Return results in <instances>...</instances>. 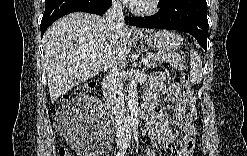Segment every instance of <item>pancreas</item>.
<instances>
[{"instance_id":"obj_1","label":"pancreas","mask_w":247,"mask_h":156,"mask_svg":"<svg viewBox=\"0 0 247 156\" xmlns=\"http://www.w3.org/2000/svg\"><path fill=\"white\" fill-rule=\"evenodd\" d=\"M146 58L148 62L145 64L148 69L155 68L163 61L170 63L172 67H177L182 60H174L170 54L167 53H147Z\"/></svg>"}]
</instances>
